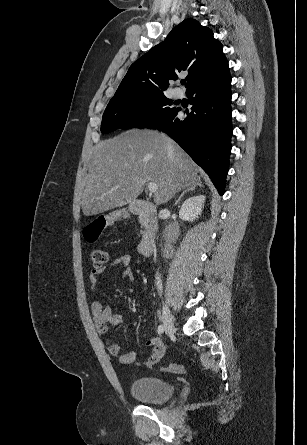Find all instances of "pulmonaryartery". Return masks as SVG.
Segmentation results:
<instances>
[{"label": "pulmonary artery", "instance_id": "1", "mask_svg": "<svg viewBox=\"0 0 307 445\" xmlns=\"http://www.w3.org/2000/svg\"><path fill=\"white\" fill-rule=\"evenodd\" d=\"M172 95L174 96V97H180V95H181V91H180V89L177 87V86H174L173 88H172Z\"/></svg>", "mask_w": 307, "mask_h": 445}]
</instances>
